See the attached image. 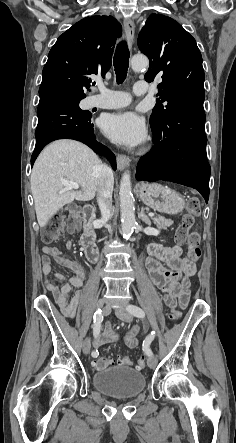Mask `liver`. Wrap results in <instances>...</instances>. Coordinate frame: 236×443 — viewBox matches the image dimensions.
Segmentation results:
<instances>
[{"label": "liver", "mask_w": 236, "mask_h": 443, "mask_svg": "<svg viewBox=\"0 0 236 443\" xmlns=\"http://www.w3.org/2000/svg\"><path fill=\"white\" fill-rule=\"evenodd\" d=\"M98 156L86 145L74 140H57L38 156L31 173V192L39 226L63 206L77 201H90L98 190ZM78 183L81 190H66L61 180Z\"/></svg>", "instance_id": "1"}]
</instances>
